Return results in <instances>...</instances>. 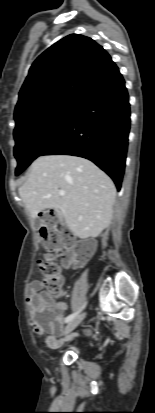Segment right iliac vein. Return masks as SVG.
<instances>
[{
	"label": "right iliac vein",
	"mask_w": 155,
	"mask_h": 413,
	"mask_svg": "<svg viewBox=\"0 0 155 413\" xmlns=\"http://www.w3.org/2000/svg\"><path fill=\"white\" fill-rule=\"evenodd\" d=\"M85 316L86 314L82 313L74 319H72L65 327L64 334L68 335L69 333H71L84 320Z\"/></svg>",
	"instance_id": "1"
}]
</instances>
